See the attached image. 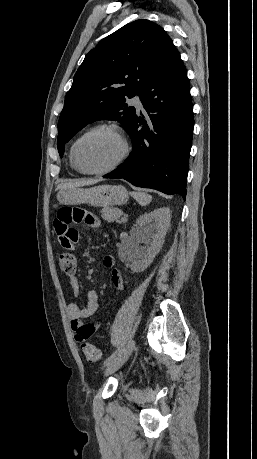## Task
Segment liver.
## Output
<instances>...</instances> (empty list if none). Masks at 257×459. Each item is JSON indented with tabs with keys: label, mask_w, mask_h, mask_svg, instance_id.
I'll return each instance as SVG.
<instances>
[{
	"label": "liver",
	"mask_w": 257,
	"mask_h": 459,
	"mask_svg": "<svg viewBox=\"0 0 257 459\" xmlns=\"http://www.w3.org/2000/svg\"><path fill=\"white\" fill-rule=\"evenodd\" d=\"M97 182H99V180H96V179L74 180V181H70V182H67V183L59 184L57 186L56 190H63V189H68V188L88 186V185L96 184Z\"/></svg>",
	"instance_id": "obj_1"
}]
</instances>
